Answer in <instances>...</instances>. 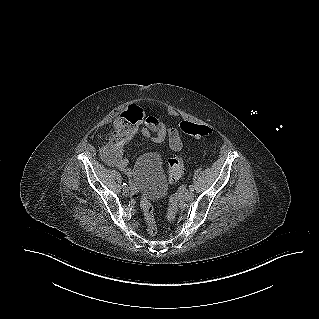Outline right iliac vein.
Returning a JSON list of instances; mask_svg holds the SVG:
<instances>
[{
	"label": "right iliac vein",
	"instance_id": "1",
	"mask_svg": "<svg viewBox=\"0 0 319 319\" xmlns=\"http://www.w3.org/2000/svg\"><path fill=\"white\" fill-rule=\"evenodd\" d=\"M123 195L124 196H129L130 195V190L128 187L123 188Z\"/></svg>",
	"mask_w": 319,
	"mask_h": 319
}]
</instances>
